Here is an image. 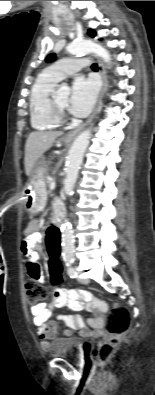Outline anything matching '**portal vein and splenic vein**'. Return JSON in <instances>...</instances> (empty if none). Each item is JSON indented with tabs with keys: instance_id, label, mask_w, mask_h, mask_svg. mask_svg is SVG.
I'll return each mask as SVG.
<instances>
[{
	"instance_id": "1",
	"label": "portal vein and splenic vein",
	"mask_w": 155,
	"mask_h": 395,
	"mask_svg": "<svg viewBox=\"0 0 155 395\" xmlns=\"http://www.w3.org/2000/svg\"><path fill=\"white\" fill-rule=\"evenodd\" d=\"M55 187H56L55 182H52V183L50 184V189H55Z\"/></svg>"
}]
</instances>
